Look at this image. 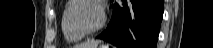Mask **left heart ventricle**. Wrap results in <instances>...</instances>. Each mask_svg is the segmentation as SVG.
I'll list each match as a JSON object with an SVG mask.
<instances>
[{
  "label": "left heart ventricle",
  "mask_w": 213,
  "mask_h": 48,
  "mask_svg": "<svg viewBox=\"0 0 213 48\" xmlns=\"http://www.w3.org/2000/svg\"><path fill=\"white\" fill-rule=\"evenodd\" d=\"M74 21L83 29L95 28L101 18L99 6L92 2H82L73 11Z\"/></svg>",
  "instance_id": "obj_1"
}]
</instances>
